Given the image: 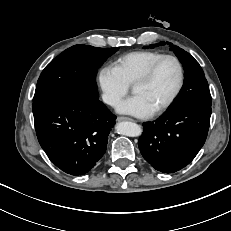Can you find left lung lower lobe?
Returning a JSON list of instances; mask_svg holds the SVG:
<instances>
[{
    "label": "left lung lower lobe",
    "instance_id": "1",
    "mask_svg": "<svg viewBox=\"0 0 231 231\" xmlns=\"http://www.w3.org/2000/svg\"><path fill=\"white\" fill-rule=\"evenodd\" d=\"M211 112V106L184 104L143 123L138 146L144 159L163 173L184 168L205 143Z\"/></svg>",
    "mask_w": 231,
    "mask_h": 231
}]
</instances>
